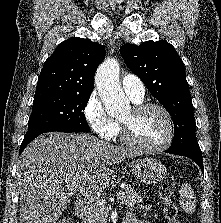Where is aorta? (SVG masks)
Returning <instances> with one entry per match:
<instances>
[{
    "instance_id": "1",
    "label": "aorta",
    "mask_w": 221,
    "mask_h": 223,
    "mask_svg": "<svg viewBox=\"0 0 221 223\" xmlns=\"http://www.w3.org/2000/svg\"><path fill=\"white\" fill-rule=\"evenodd\" d=\"M120 66L116 59L103 61L95 74V84L106 112L118 116L129 110L130 102L123 93L119 82Z\"/></svg>"
}]
</instances>
